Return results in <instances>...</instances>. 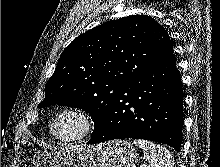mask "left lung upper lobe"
I'll return each mask as SVG.
<instances>
[{
  "label": "left lung upper lobe",
  "mask_w": 220,
  "mask_h": 167,
  "mask_svg": "<svg viewBox=\"0 0 220 167\" xmlns=\"http://www.w3.org/2000/svg\"><path fill=\"white\" fill-rule=\"evenodd\" d=\"M171 53L166 29L150 16L105 22L66 47L38 107L81 108L94 121V136L125 85Z\"/></svg>",
  "instance_id": "5c2ea615"
}]
</instances>
